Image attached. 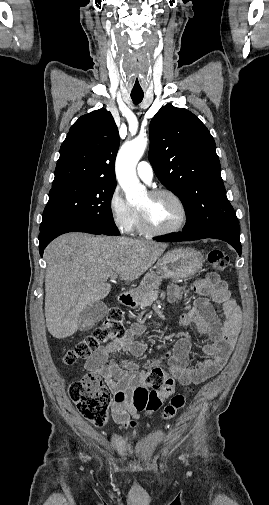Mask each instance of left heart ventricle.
I'll use <instances>...</instances> for the list:
<instances>
[{
	"label": "left heart ventricle",
	"instance_id": "left-heart-ventricle-1",
	"mask_svg": "<svg viewBox=\"0 0 269 505\" xmlns=\"http://www.w3.org/2000/svg\"><path fill=\"white\" fill-rule=\"evenodd\" d=\"M158 228H170L177 225L182 218V211L177 202L169 196L152 197L147 194L139 204Z\"/></svg>",
	"mask_w": 269,
	"mask_h": 505
}]
</instances>
